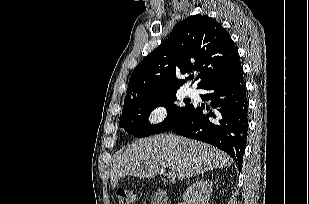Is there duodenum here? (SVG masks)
Segmentation results:
<instances>
[{"label":"duodenum","mask_w":309,"mask_h":204,"mask_svg":"<svg viewBox=\"0 0 309 204\" xmlns=\"http://www.w3.org/2000/svg\"><path fill=\"white\" fill-rule=\"evenodd\" d=\"M168 198L162 190H158L155 195L154 204H167Z\"/></svg>","instance_id":"1"}]
</instances>
